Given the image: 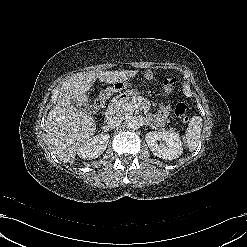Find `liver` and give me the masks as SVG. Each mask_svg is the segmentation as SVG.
Returning a JSON list of instances; mask_svg holds the SVG:
<instances>
[{
  "label": "liver",
  "mask_w": 247,
  "mask_h": 247,
  "mask_svg": "<svg viewBox=\"0 0 247 247\" xmlns=\"http://www.w3.org/2000/svg\"><path fill=\"white\" fill-rule=\"evenodd\" d=\"M137 73V70H95L73 74L62 83L57 101L45 122L47 143L61 161L74 163L78 146L93 136L96 130L95 119L87 110L76 108L72 100L86 105V92L97 79L115 84L126 81Z\"/></svg>",
  "instance_id": "1"
}]
</instances>
